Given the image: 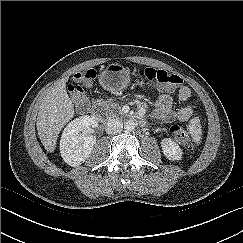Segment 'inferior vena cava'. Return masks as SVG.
Instances as JSON below:
<instances>
[{"instance_id":"602c4592","label":"inferior vena cava","mask_w":243,"mask_h":243,"mask_svg":"<svg viewBox=\"0 0 243 243\" xmlns=\"http://www.w3.org/2000/svg\"><path fill=\"white\" fill-rule=\"evenodd\" d=\"M123 129V123L119 119H109L105 126V131L107 134H117Z\"/></svg>"}]
</instances>
